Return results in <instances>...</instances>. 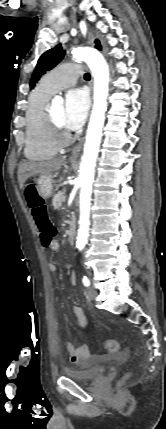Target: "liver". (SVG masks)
Masks as SVG:
<instances>
[{
  "label": "liver",
  "mask_w": 166,
  "mask_h": 429,
  "mask_svg": "<svg viewBox=\"0 0 166 429\" xmlns=\"http://www.w3.org/2000/svg\"><path fill=\"white\" fill-rule=\"evenodd\" d=\"M66 157L55 158L46 162H23L18 168V181L23 189L26 180L35 175L48 176L59 170L64 164Z\"/></svg>",
  "instance_id": "liver-1"
}]
</instances>
